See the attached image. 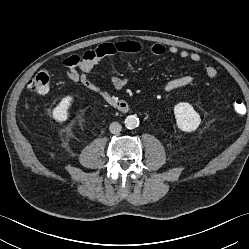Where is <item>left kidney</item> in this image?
I'll return each mask as SVG.
<instances>
[{"label":"left kidney","mask_w":249,"mask_h":249,"mask_svg":"<svg viewBox=\"0 0 249 249\" xmlns=\"http://www.w3.org/2000/svg\"><path fill=\"white\" fill-rule=\"evenodd\" d=\"M177 127L184 132H193L200 125V115L187 102H180L174 106Z\"/></svg>","instance_id":"1"}]
</instances>
